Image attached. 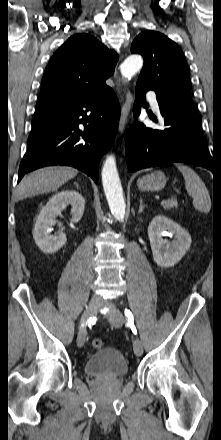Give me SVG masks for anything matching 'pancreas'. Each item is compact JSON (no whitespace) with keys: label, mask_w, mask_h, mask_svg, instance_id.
Returning <instances> with one entry per match:
<instances>
[{"label":"pancreas","mask_w":221,"mask_h":440,"mask_svg":"<svg viewBox=\"0 0 221 440\" xmlns=\"http://www.w3.org/2000/svg\"><path fill=\"white\" fill-rule=\"evenodd\" d=\"M162 206L165 210H171L173 208H177L178 203H177L176 199H171V200H168L165 203H163Z\"/></svg>","instance_id":"obj_1"}]
</instances>
